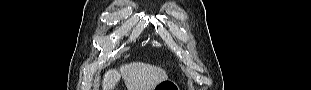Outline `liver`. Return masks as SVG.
I'll return each instance as SVG.
<instances>
[{
	"label": "liver",
	"instance_id": "obj_1",
	"mask_svg": "<svg viewBox=\"0 0 311 90\" xmlns=\"http://www.w3.org/2000/svg\"><path fill=\"white\" fill-rule=\"evenodd\" d=\"M123 78L127 90H154L164 80H167L166 71L160 67L133 62L124 64L119 70H108L103 78V90H114L116 84Z\"/></svg>",
	"mask_w": 311,
	"mask_h": 90
}]
</instances>
